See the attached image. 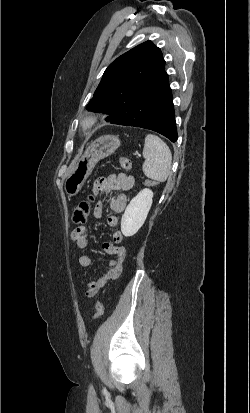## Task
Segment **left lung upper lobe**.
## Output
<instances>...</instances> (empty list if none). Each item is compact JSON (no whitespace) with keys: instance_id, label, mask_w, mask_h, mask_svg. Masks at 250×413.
Wrapping results in <instances>:
<instances>
[{"instance_id":"1","label":"left lung upper lobe","mask_w":250,"mask_h":413,"mask_svg":"<svg viewBox=\"0 0 250 413\" xmlns=\"http://www.w3.org/2000/svg\"><path fill=\"white\" fill-rule=\"evenodd\" d=\"M165 75L161 50L151 41H146L107 67L87 109L114 115L132 97L139 84L145 85Z\"/></svg>"}]
</instances>
